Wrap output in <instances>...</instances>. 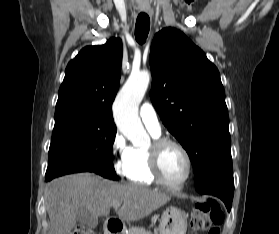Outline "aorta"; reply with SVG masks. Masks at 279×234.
Listing matches in <instances>:
<instances>
[{
    "label": "aorta",
    "mask_w": 279,
    "mask_h": 234,
    "mask_svg": "<svg viewBox=\"0 0 279 234\" xmlns=\"http://www.w3.org/2000/svg\"><path fill=\"white\" fill-rule=\"evenodd\" d=\"M149 81L150 74L147 71L131 73L113 105V115L118 129L138 147L146 146L150 141L138 115V107Z\"/></svg>",
    "instance_id": "762f6f07"
}]
</instances>
